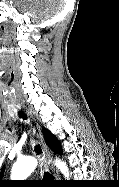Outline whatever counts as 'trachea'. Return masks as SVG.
I'll return each mask as SVG.
<instances>
[{
  "mask_svg": "<svg viewBox=\"0 0 119 187\" xmlns=\"http://www.w3.org/2000/svg\"><path fill=\"white\" fill-rule=\"evenodd\" d=\"M19 116H20L21 118H23V119H26V116L24 115L23 112H19ZM35 151L37 152V154H40V153H41V149H40V146H39V145H36V146H35ZM44 177H45L46 179H53V178H54V177H53L50 173H48V172H45Z\"/></svg>",
  "mask_w": 119,
  "mask_h": 187,
  "instance_id": "trachea-1",
  "label": "trachea"
}]
</instances>
